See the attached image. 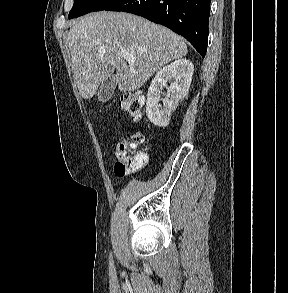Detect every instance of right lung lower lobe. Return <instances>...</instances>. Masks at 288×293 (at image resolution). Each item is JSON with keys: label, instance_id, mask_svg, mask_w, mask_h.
<instances>
[{"label": "right lung lower lobe", "instance_id": "98d812e1", "mask_svg": "<svg viewBox=\"0 0 288 293\" xmlns=\"http://www.w3.org/2000/svg\"><path fill=\"white\" fill-rule=\"evenodd\" d=\"M211 0H118L106 10L133 13L185 37L205 56Z\"/></svg>", "mask_w": 288, "mask_h": 293}]
</instances>
